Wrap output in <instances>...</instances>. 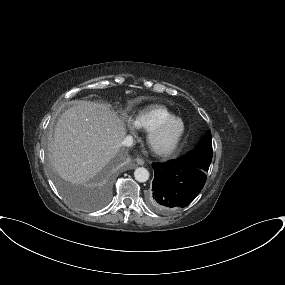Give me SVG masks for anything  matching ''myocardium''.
<instances>
[{
	"mask_svg": "<svg viewBox=\"0 0 285 285\" xmlns=\"http://www.w3.org/2000/svg\"><path fill=\"white\" fill-rule=\"evenodd\" d=\"M178 122L181 125L180 130L177 132V134L174 136V138L168 142L165 145H157L155 143V140L158 135H160L167 127H169L172 123ZM185 133V123L180 117H171L168 118L161 123H159L157 126H155L153 129H151L146 137V142L150 150L159 156H168L171 153H173L178 145L181 142V139Z\"/></svg>",
	"mask_w": 285,
	"mask_h": 285,
	"instance_id": "myocardium-1",
	"label": "myocardium"
}]
</instances>
